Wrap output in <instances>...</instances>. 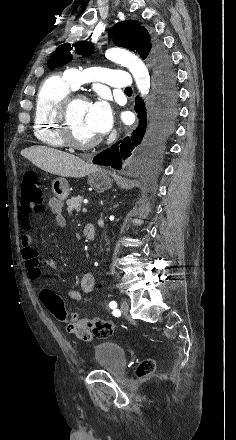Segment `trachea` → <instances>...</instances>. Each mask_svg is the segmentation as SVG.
<instances>
[{"mask_svg":"<svg viewBox=\"0 0 236 440\" xmlns=\"http://www.w3.org/2000/svg\"><path fill=\"white\" fill-rule=\"evenodd\" d=\"M126 91H132V89L131 88H127Z\"/></svg>","mask_w":236,"mask_h":440,"instance_id":"trachea-1","label":"trachea"}]
</instances>
